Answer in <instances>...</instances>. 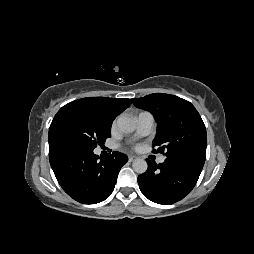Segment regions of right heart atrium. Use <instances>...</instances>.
<instances>
[{
	"instance_id": "obj_1",
	"label": "right heart atrium",
	"mask_w": 254,
	"mask_h": 254,
	"mask_svg": "<svg viewBox=\"0 0 254 254\" xmlns=\"http://www.w3.org/2000/svg\"><path fill=\"white\" fill-rule=\"evenodd\" d=\"M115 126H116V121L113 122V124H112V129H114Z\"/></svg>"
}]
</instances>
